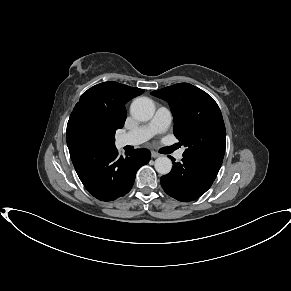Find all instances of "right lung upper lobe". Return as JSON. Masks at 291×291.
I'll use <instances>...</instances> for the list:
<instances>
[{"mask_svg": "<svg viewBox=\"0 0 291 291\" xmlns=\"http://www.w3.org/2000/svg\"><path fill=\"white\" fill-rule=\"evenodd\" d=\"M143 92V89L114 81L97 84L80 97L70 118L90 116L105 122L116 131L123 127L126 119L124 105Z\"/></svg>", "mask_w": 291, "mask_h": 291, "instance_id": "right-lung-upper-lobe-1", "label": "right lung upper lobe"}]
</instances>
